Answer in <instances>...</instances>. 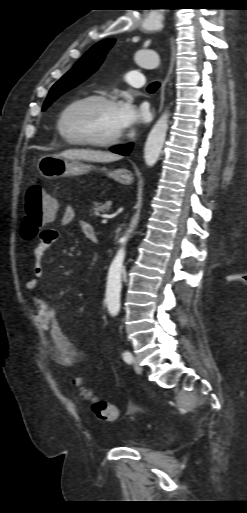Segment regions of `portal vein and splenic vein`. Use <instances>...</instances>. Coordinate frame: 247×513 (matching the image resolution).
<instances>
[{
  "label": "portal vein and splenic vein",
  "instance_id": "1",
  "mask_svg": "<svg viewBox=\"0 0 247 513\" xmlns=\"http://www.w3.org/2000/svg\"><path fill=\"white\" fill-rule=\"evenodd\" d=\"M101 222H102V223H107V219H106V218H103Z\"/></svg>",
  "mask_w": 247,
  "mask_h": 513
}]
</instances>
